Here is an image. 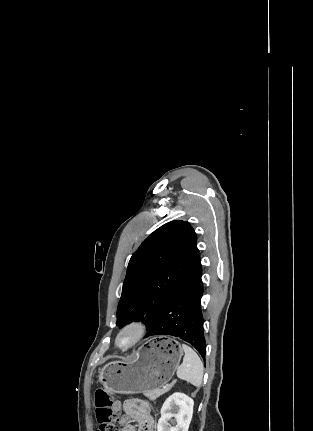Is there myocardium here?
Listing matches in <instances>:
<instances>
[{
    "mask_svg": "<svg viewBox=\"0 0 313 431\" xmlns=\"http://www.w3.org/2000/svg\"><path fill=\"white\" fill-rule=\"evenodd\" d=\"M126 332H132L133 339L129 344L125 346H121L119 344L120 337ZM147 333H148V325L145 321L143 320L130 321L119 329L115 337V346L122 351L129 350L135 347L137 344H139L145 338Z\"/></svg>",
    "mask_w": 313,
    "mask_h": 431,
    "instance_id": "obj_1",
    "label": "myocardium"
}]
</instances>
